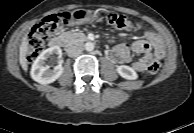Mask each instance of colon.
<instances>
[{
	"mask_svg": "<svg viewBox=\"0 0 194 133\" xmlns=\"http://www.w3.org/2000/svg\"><path fill=\"white\" fill-rule=\"evenodd\" d=\"M101 16L111 26L122 29L131 30L133 24L125 15L116 13H101ZM69 14L60 13L46 17L42 22L35 25L28 38L27 58L29 61L34 59L49 43V41L57 34V32L68 22ZM160 69L158 61H153L148 69L149 76L155 75Z\"/></svg>",
	"mask_w": 194,
	"mask_h": 133,
	"instance_id": "colon-1",
	"label": "colon"
}]
</instances>
